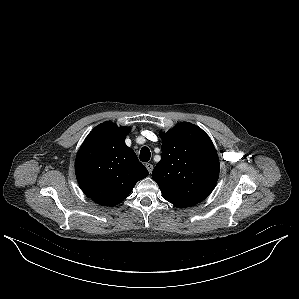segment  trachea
Returning a JSON list of instances; mask_svg holds the SVG:
<instances>
[{"label": "trachea", "instance_id": "3493384b", "mask_svg": "<svg viewBox=\"0 0 299 299\" xmlns=\"http://www.w3.org/2000/svg\"><path fill=\"white\" fill-rule=\"evenodd\" d=\"M151 153L148 147H143L140 151V160L142 162H148L150 160Z\"/></svg>", "mask_w": 299, "mask_h": 299}]
</instances>
